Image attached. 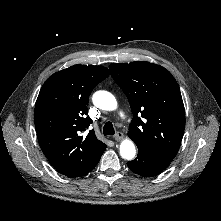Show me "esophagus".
<instances>
[{
	"mask_svg": "<svg viewBox=\"0 0 221 221\" xmlns=\"http://www.w3.org/2000/svg\"><path fill=\"white\" fill-rule=\"evenodd\" d=\"M123 137H124V135H123L122 132H117V133L114 135V139H115L116 141L122 140Z\"/></svg>",
	"mask_w": 221,
	"mask_h": 221,
	"instance_id": "34e87169",
	"label": "esophagus"
}]
</instances>
